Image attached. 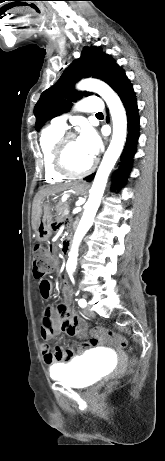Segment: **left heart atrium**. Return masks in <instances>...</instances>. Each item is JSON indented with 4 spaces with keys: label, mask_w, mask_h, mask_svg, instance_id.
Instances as JSON below:
<instances>
[{
    "label": "left heart atrium",
    "mask_w": 165,
    "mask_h": 461,
    "mask_svg": "<svg viewBox=\"0 0 165 461\" xmlns=\"http://www.w3.org/2000/svg\"><path fill=\"white\" fill-rule=\"evenodd\" d=\"M78 141L82 148L91 156L94 157L100 148V139L96 132L90 127L82 129Z\"/></svg>",
    "instance_id": "1"
}]
</instances>
